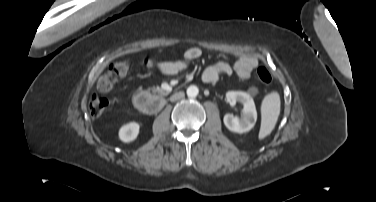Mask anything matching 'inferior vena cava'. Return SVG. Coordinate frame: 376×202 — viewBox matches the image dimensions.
Segmentation results:
<instances>
[{
	"mask_svg": "<svg viewBox=\"0 0 376 202\" xmlns=\"http://www.w3.org/2000/svg\"><path fill=\"white\" fill-rule=\"evenodd\" d=\"M183 96H184L183 93H177V94H175V96L172 97V100H176V99L182 98Z\"/></svg>",
	"mask_w": 376,
	"mask_h": 202,
	"instance_id": "obj_1",
	"label": "inferior vena cava"
}]
</instances>
